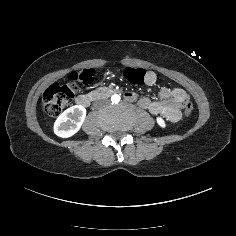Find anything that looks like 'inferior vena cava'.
I'll use <instances>...</instances> for the list:
<instances>
[{
    "label": "inferior vena cava",
    "instance_id": "1",
    "mask_svg": "<svg viewBox=\"0 0 236 236\" xmlns=\"http://www.w3.org/2000/svg\"><path fill=\"white\" fill-rule=\"evenodd\" d=\"M106 102H107V100H105V99L97 100L94 102V106L99 107L101 105H104Z\"/></svg>",
    "mask_w": 236,
    "mask_h": 236
}]
</instances>
